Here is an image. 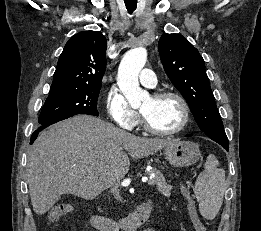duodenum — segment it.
Here are the masks:
<instances>
[{
  "label": "duodenum",
  "instance_id": "410a0bca",
  "mask_svg": "<svg viewBox=\"0 0 261 231\" xmlns=\"http://www.w3.org/2000/svg\"><path fill=\"white\" fill-rule=\"evenodd\" d=\"M150 211V203L144 202L140 204L129 217L120 222L95 215L92 218V226L100 231H134L147 220Z\"/></svg>",
  "mask_w": 261,
  "mask_h": 231
}]
</instances>
